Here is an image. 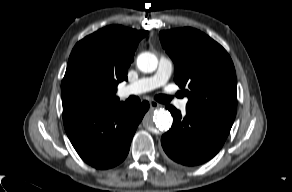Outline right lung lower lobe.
I'll return each instance as SVG.
<instances>
[{"instance_id": "obj_1", "label": "right lung lower lobe", "mask_w": 292, "mask_h": 192, "mask_svg": "<svg viewBox=\"0 0 292 192\" xmlns=\"http://www.w3.org/2000/svg\"><path fill=\"white\" fill-rule=\"evenodd\" d=\"M149 109L124 102L107 108L73 107L63 109L65 131L79 156L97 169H108L127 156L132 137Z\"/></svg>"}]
</instances>
